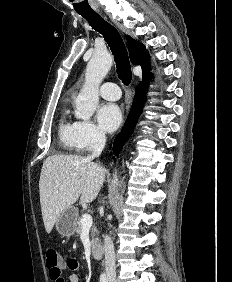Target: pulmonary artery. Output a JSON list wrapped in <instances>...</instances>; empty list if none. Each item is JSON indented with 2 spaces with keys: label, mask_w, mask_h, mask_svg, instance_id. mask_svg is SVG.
Masks as SVG:
<instances>
[{
  "label": "pulmonary artery",
  "mask_w": 232,
  "mask_h": 282,
  "mask_svg": "<svg viewBox=\"0 0 232 282\" xmlns=\"http://www.w3.org/2000/svg\"><path fill=\"white\" fill-rule=\"evenodd\" d=\"M99 93L104 99L110 101L118 100L121 96L119 86L113 82H106L102 84L99 89Z\"/></svg>",
  "instance_id": "pulmonary-artery-1"
}]
</instances>
